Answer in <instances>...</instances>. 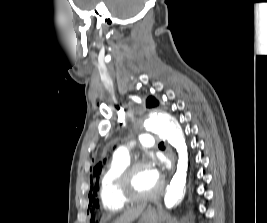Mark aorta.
<instances>
[{"label":"aorta","mask_w":267,"mask_h":223,"mask_svg":"<svg viewBox=\"0 0 267 223\" xmlns=\"http://www.w3.org/2000/svg\"><path fill=\"white\" fill-rule=\"evenodd\" d=\"M144 127L168 141L178 152L177 170L164 196L166 208H173L181 202L186 183L188 152L184 135L178 121L170 115H152L144 122Z\"/></svg>","instance_id":"1"}]
</instances>
